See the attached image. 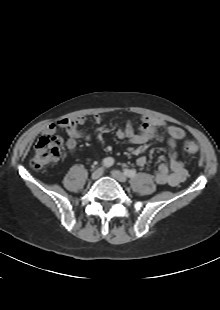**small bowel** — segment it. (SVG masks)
I'll list each match as a JSON object with an SVG mask.
<instances>
[{
    "mask_svg": "<svg viewBox=\"0 0 220 310\" xmlns=\"http://www.w3.org/2000/svg\"><path fill=\"white\" fill-rule=\"evenodd\" d=\"M93 119L96 123L102 122V116L95 114ZM87 121L85 115H79L70 118H63L56 124H49L46 126L44 133L46 135H53L58 128L64 129L68 134L66 140V148L70 153H75L77 148V140H90V135L80 130V126ZM165 128L168 134V146L170 148V155L168 163H161L158 165L154 175V181L159 185L177 186L185 181L187 178V171L183 161L179 158L177 144L183 140L186 133L183 128L176 125H168L164 120L145 116L142 118L138 129L135 130L131 122H127L124 128L117 131V137L120 140H126L135 145H142L152 141L158 129ZM139 167H144L147 164L145 156H139L136 160Z\"/></svg>",
    "mask_w": 220,
    "mask_h": 310,
    "instance_id": "c3829d8e",
    "label": "small bowel"
}]
</instances>
